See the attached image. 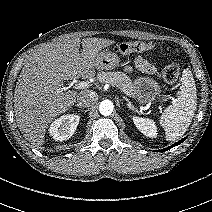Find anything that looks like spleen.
Masks as SVG:
<instances>
[{
  "label": "spleen",
  "mask_w": 212,
  "mask_h": 212,
  "mask_svg": "<svg viewBox=\"0 0 212 212\" xmlns=\"http://www.w3.org/2000/svg\"><path fill=\"white\" fill-rule=\"evenodd\" d=\"M181 82L173 105L164 110L159 120L165 131L166 140L172 142H177L188 130L197 105L195 81L188 68L183 70Z\"/></svg>",
  "instance_id": "spleen-1"
}]
</instances>
